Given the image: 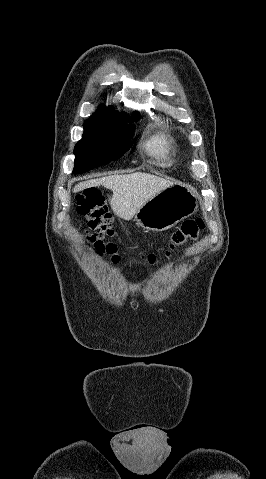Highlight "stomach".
Wrapping results in <instances>:
<instances>
[{"label": "stomach", "mask_w": 266, "mask_h": 479, "mask_svg": "<svg viewBox=\"0 0 266 479\" xmlns=\"http://www.w3.org/2000/svg\"><path fill=\"white\" fill-rule=\"evenodd\" d=\"M194 189L174 184L148 200L135 214L136 224L148 231H164L197 210Z\"/></svg>", "instance_id": "stomach-1"}]
</instances>
